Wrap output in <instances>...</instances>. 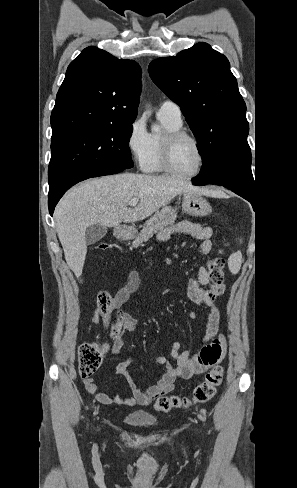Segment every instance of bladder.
<instances>
[{
    "label": "bladder",
    "instance_id": "bladder-1",
    "mask_svg": "<svg viewBox=\"0 0 297 488\" xmlns=\"http://www.w3.org/2000/svg\"><path fill=\"white\" fill-rule=\"evenodd\" d=\"M124 420L134 427H152L157 425V420L144 411H134L125 415Z\"/></svg>",
    "mask_w": 297,
    "mask_h": 488
}]
</instances>
